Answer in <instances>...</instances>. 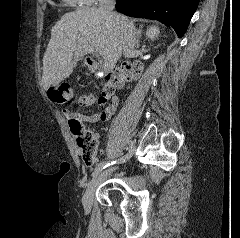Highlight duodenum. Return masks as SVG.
I'll return each mask as SVG.
<instances>
[{"instance_id": "410a0bca", "label": "duodenum", "mask_w": 240, "mask_h": 238, "mask_svg": "<svg viewBox=\"0 0 240 238\" xmlns=\"http://www.w3.org/2000/svg\"><path fill=\"white\" fill-rule=\"evenodd\" d=\"M86 63H87V66L90 71L94 72L98 69V63L95 60L88 58ZM128 66L129 65L127 64V65L123 66V68L128 67Z\"/></svg>"}]
</instances>
